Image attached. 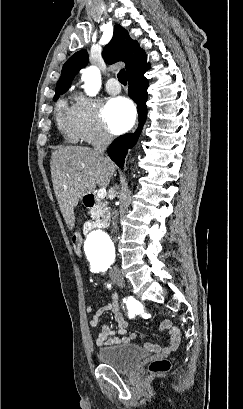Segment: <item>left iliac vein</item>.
Instances as JSON below:
<instances>
[{"label":"left iliac vein","mask_w":243,"mask_h":409,"mask_svg":"<svg viewBox=\"0 0 243 409\" xmlns=\"http://www.w3.org/2000/svg\"><path fill=\"white\" fill-rule=\"evenodd\" d=\"M111 279L113 281L114 284L118 285L119 287H123L124 286V280L121 277V275L119 274H112L111 275Z\"/></svg>","instance_id":"4c4485c4"}]
</instances>
